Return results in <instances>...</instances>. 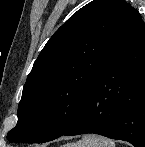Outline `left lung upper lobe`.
Returning <instances> with one entry per match:
<instances>
[{"instance_id":"obj_1","label":"left lung upper lobe","mask_w":145,"mask_h":147,"mask_svg":"<svg viewBox=\"0 0 145 147\" xmlns=\"http://www.w3.org/2000/svg\"><path fill=\"white\" fill-rule=\"evenodd\" d=\"M129 8L124 0H93L54 33L26 80L10 142H48L73 126Z\"/></svg>"}]
</instances>
